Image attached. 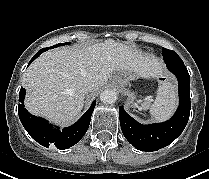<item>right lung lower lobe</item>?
I'll return each instance as SVG.
<instances>
[{
  "label": "right lung lower lobe",
  "instance_id": "1",
  "mask_svg": "<svg viewBox=\"0 0 209 179\" xmlns=\"http://www.w3.org/2000/svg\"><path fill=\"white\" fill-rule=\"evenodd\" d=\"M43 52V49L39 50L29 64ZM25 93V89L21 88L19 92L20 104L18 105L19 118L29 135L39 144L44 147L55 145L58 149L64 150L75 145L84 136L89 127L96 101L76 123L60 131L59 129H51L45 119L34 116L26 110L24 107Z\"/></svg>",
  "mask_w": 209,
  "mask_h": 179
}]
</instances>
